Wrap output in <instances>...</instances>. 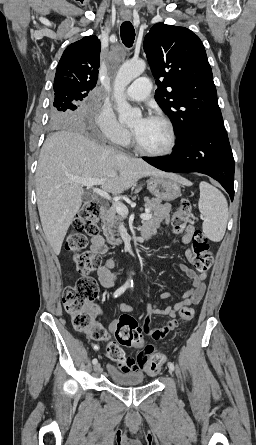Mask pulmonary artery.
Here are the masks:
<instances>
[{
    "mask_svg": "<svg viewBox=\"0 0 256 445\" xmlns=\"http://www.w3.org/2000/svg\"><path fill=\"white\" fill-rule=\"evenodd\" d=\"M152 84L146 77L136 79L127 89L126 97L132 101H142L149 96Z\"/></svg>",
    "mask_w": 256,
    "mask_h": 445,
    "instance_id": "e3ab8cb5",
    "label": "pulmonary artery"
}]
</instances>
